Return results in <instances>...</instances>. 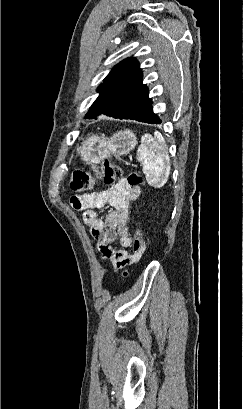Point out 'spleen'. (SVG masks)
<instances>
[{"mask_svg":"<svg viewBox=\"0 0 243 409\" xmlns=\"http://www.w3.org/2000/svg\"><path fill=\"white\" fill-rule=\"evenodd\" d=\"M143 167L147 183L154 188L165 185L170 174V162L167 158L165 140L159 131L154 137L146 133L141 137L138 158Z\"/></svg>","mask_w":243,"mask_h":409,"instance_id":"3e777b00","label":"spleen"}]
</instances>
